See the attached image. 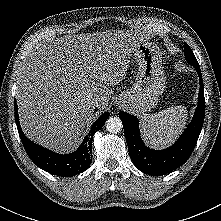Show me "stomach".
<instances>
[{"mask_svg": "<svg viewBox=\"0 0 221 221\" xmlns=\"http://www.w3.org/2000/svg\"><path fill=\"white\" fill-rule=\"evenodd\" d=\"M159 47L147 40L138 44L134 52L139 68L135 83L117 98L119 105L132 112L144 113L155 108L158 97L164 92L165 77Z\"/></svg>", "mask_w": 221, "mask_h": 221, "instance_id": "1", "label": "stomach"}]
</instances>
